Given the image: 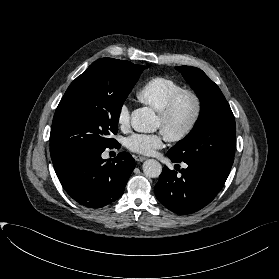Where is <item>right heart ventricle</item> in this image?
Masks as SVG:
<instances>
[{
	"instance_id": "1",
	"label": "right heart ventricle",
	"mask_w": 279,
	"mask_h": 279,
	"mask_svg": "<svg viewBox=\"0 0 279 279\" xmlns=\"http://www.w3.org/2000/svg\"><path fill=\"white\" fill-rule=\"evenodd\" d=\"M181 89L176 81L157 76L149 79L138 91V98L156 112H160L166 105L169 97Z\"/></svg>"
}]
</instances>
